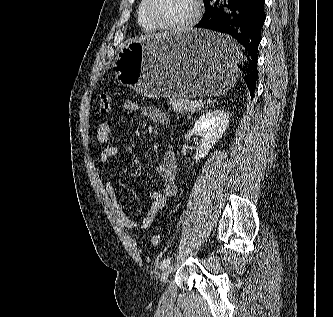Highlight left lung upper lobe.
Instances as JSON below:
<instances>
[{
  "mask_svg": "<svg viewBox=\"0 0 333 317\" xmlns=\"http://www.w3.org/2000/svg\"><path fill=\"white\" fill-rule=\"evenodd\" d=\"M211 0H203L204 2V6L206 7L209 3H210Z\"/></svg>",
  "mask_w": 333,
  "mask_h": 317,
  "instance_id": "1",
  "label": "left lung upper lobe"
}]
</instances>
